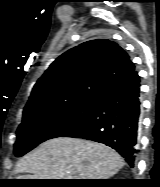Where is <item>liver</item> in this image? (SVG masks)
I'll use <instances>...</instances> for the list:
<instances>
[{"instance_id":"obj_1","label":"liver","mask_w":160,"mask_h":187,"mask_svg":"<svg viewBox=\"0 0 160 187\" xmlns=\"http://www.w3.org/2000/svg\"><path fill=\"white\" fill-rule=\"evenodd\" d=\"M123 166V158L104 144L59 137L22 157L16 172L30 174L18 179H109Z\"/></svg>"}]
</instances>
